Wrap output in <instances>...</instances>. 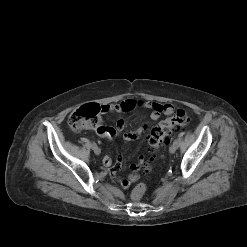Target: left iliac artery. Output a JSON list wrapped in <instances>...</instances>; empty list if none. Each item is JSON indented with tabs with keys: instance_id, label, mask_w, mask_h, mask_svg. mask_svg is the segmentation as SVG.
<instances>
[{
	"instance_id": "obj_1",
	"label": "left iliac artery",
	"mask_w": 247,
	"mask_h": 247,
	"mask_svg": "<svg viewBox=\"0 0 247 247\" xmlns=\"http://www.w3.org/2000/svg\"><path fill=\"white\" fill-rule=\"evenodd\" d=\"M173 144H176L178 146L179 140L178 139H175L174 142H173Z\"/></svg>"
}]
</instances>
